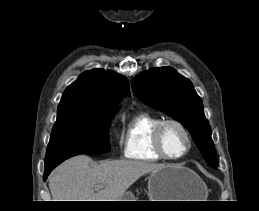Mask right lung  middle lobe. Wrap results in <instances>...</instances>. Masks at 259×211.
<instances>
[{"label":"right lung middle lobe","mask_w":259,"mask_h":211,"mask_svg":"<svg viewBox=\"0 0 259 211\" xmlns=\"http://www.w3.org/2000/svg\"><path fill=\"white\" fill-rule=\"evenodd\" d=\"M115 111L75 109L57 115L47 148L45 167L56 166L78 154L111 150L108 131Z\"/></svg>","instance_id":"1"}]
</instances>
